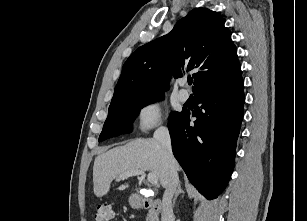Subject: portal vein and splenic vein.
<instances>
[{
    "mask_svg": "<svg viewBox=\"0 0 307 221\" xmlns=\"http://www.w3.org/2000/svg\"><path fill=\"white\" fill-rule=\"evenodd\" d=\"M137 175H145V171L144 170L128 171V172H125V173L121 174L119 178L120 179H125V178H128L130 176H137ZM147 178H148V181L151 184H158V178H157V176L154 173H149Z\"/></svg>",
    "mask_w": 307,
    "mask_h": 221,
    "instance_id": "obj_1",
    "label": "portal vein and splenic vein"
}]
</instances>
